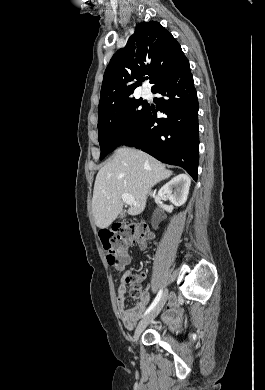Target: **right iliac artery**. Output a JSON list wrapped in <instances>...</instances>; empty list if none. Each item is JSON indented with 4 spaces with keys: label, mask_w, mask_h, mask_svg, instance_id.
I'll return each instance as SVG.
<instances>
[{
    "label": "right iliac artery",
    "mask_w": 265,
    "mask_h": 390,
    "mask_svg": "<svg viewBox=\"0 0 265 390\" xmlns=\"http://www.w3.org/2000/svg\"><path fill=\"white\" fill-rule=\"evenodd\" d=\"M162 289H160V291L158 292L157 296L155 297L154 301L152 302V304L148 307V309L145 311L144 315L148 314L156 305L157 303L159 302L161 296H162Z\"/></svg>",
    "instance_id": "obj_1"
}]
</instances>
